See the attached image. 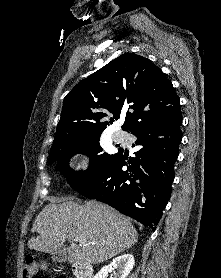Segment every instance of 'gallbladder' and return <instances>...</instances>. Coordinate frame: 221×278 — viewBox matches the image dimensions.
I'll return each instance as SVG.
<instances>
[{
    "label": "gallbladder",
    "instance_id": "obj_1",
    "mask_svg": "<svg viewBox=\"0 0 221 278\" xmlns=\"http://www.w3.org/2000/svg\"><path fill=\"white\" fill-rule=\"evenodd\" d=\"M51 259L54 261V262H58V263H63L66 261L67 257H66V249L65 248H62V249H59L55 252H53L51 254Z\"/></svg>",
    "mask_w": 221,
    "mask_h": 278
}]
</instances>
